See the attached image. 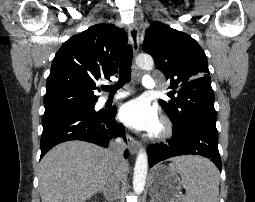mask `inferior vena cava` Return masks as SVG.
Instances as JSON below:
<instances>
[{"mask_svg":"<svg viewBox=\"0 0 255 202\" xmlns=\"http://www.w3.org/2000/svg\"><path fill=\"white\" fill-rule=\"evenodd\" d=\"M126 145L122 139H116L110 143V152L116 160V167L106 182L104 190L111 199H116L119 192V184L122 177V168L126 163L123 152Z\"/></svg>","mask_w":255,"mask_h":202,"instance_id":"1","label":"inferior vena cava"}]
</instances>
